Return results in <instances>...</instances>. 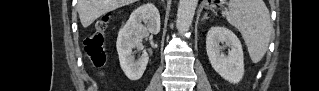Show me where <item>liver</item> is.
<instances>
[{
	"label": "liver",
	"mask_w": 319,
	"mask_h": 91,
	"mask_svg": "<svg viewBox=\"0 0 319 91\" xmlns=\"http://www.w3.org/2000/svg\"><path fill=\"white\" fill-rule=\"evenodd\" d=\"M134 2L135 0H78L80 22L86 28L103 14Z\"/></svg>",
	"instance_id": "1"
}]
</instances>
